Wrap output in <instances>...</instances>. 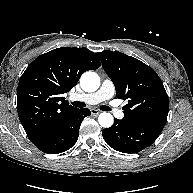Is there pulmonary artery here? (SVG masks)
I'll return each mask as SVG.
<instances>
[{
  "label": "pulmonary artery",
  "instance_id": "e3ab8cb5",
  "mask_svg": "<svg viewBox=\"0 0 193 193\" xmlns=\"http://www.w3.org/2000/svg\"><path fill=\"white\" fill-rule=\"evenodd\" d=\"M114 93H115V86L113 82L109 79H105L97 91L88 94L73 95L72 99L80 100L87 104L93 105L111 99ZM112 111L115 117L119 119L123 118L124 114L121 109L114 107L112 108Z\"/></svg>",
  "mask_w": 193,
  "mask_h": 193
}]
</instances>
